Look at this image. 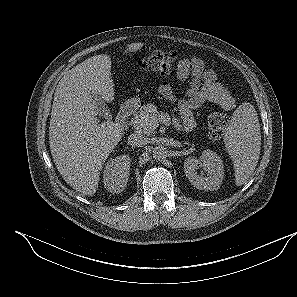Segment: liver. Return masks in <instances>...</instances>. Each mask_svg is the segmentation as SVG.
Returning a JSON list of instances; mask_svg holds the SVG:
<instances>
[{"mask_svg":"<svg viewBox=\"0 0 297 297\" xmlns=\"http://www.w3.org/2000/svg\"><path fill=\"white\" fill-rule=\"evenodd\" d=\"M142 47L143 43L128 44L126 52ZM91 94L106 102L114 100L107 54L88 58L64 75L51 111L49 144L56 168L73 189L88 196L96 192L104 162L123 135L117 123H99Z\"/></svg>","mask_w":297,"mask_h":297,"instance_id":"1","label":"liver"}]
</instances>
